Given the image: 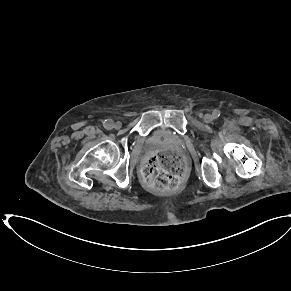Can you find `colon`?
Segmentation results:
<instances>
[{"label": "colon", "instance_id": "colon-1", "mask_svg": "<svg viewBox=\"0 0 291 291\" xmlns=\"http://www.w3.org/2000/svg\"><path fill=\"white\" fill-rule=\"evenodd\" d=\"M182 170V157L172 150H165L146 158L142 176L150 188L168 191L177 186Z\"/></svg>", "mask_w": 291, "mask_h": 291}]
</instances>
